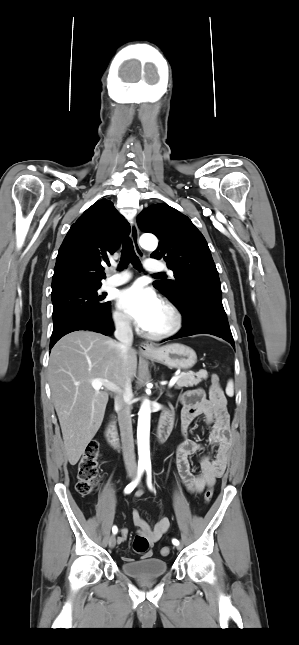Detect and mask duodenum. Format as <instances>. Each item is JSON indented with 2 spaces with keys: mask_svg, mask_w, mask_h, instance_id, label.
Returning a JSON list of instances; mask_svg holds the SVG:
<instances>
[{
  "mask_svg": "<svg viewBox=\"0 0 299 645\" xmlns=\"http://www.w3.org/2000/svg\"><path fill=\"white\" fill-rule=\"evenodd\" d=\"M172 426H173L172 416L168 411H166L161 416L158 430H157V438L160 442H164L168 438L172 430ZM105 436L108 443L112 447L114 448L119 447V438H118L115 423L113 420H110L109 423L107 424Z\"/></svg>",
  "mask_w": 299,
  "mask_h": 645,
  "instance_id": "obj_1",
  "label": "duodenum"
}]
</instances>
